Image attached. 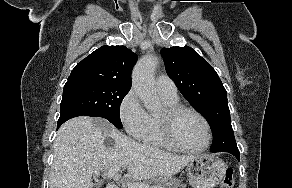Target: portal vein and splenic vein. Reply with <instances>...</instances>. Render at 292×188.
Here are the masks:
<instances>
[{
	"label": "portal vein and splenic vein",
	"mask_w": 292,
	"mask_h": 188,
	"mask_svg": "<svg viewBox=\"0 0 292 188\" xmlns=\"http://www.w3.org/2000/svg\"><path fill=\"white\" fill-rule=\"evenodd\" d=\"M120 170L119 167H113L108 169L106 172V175L108 178H113L115 180L119 179V176L117 175L118 171ZM128 188H149L148 185L143 183H128ZM151 188H159V186H152Z\"/></svg>",
	"instance_id": "obj_1"
}]
</instances>
